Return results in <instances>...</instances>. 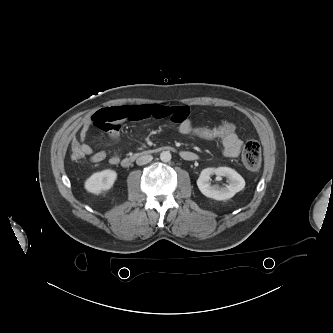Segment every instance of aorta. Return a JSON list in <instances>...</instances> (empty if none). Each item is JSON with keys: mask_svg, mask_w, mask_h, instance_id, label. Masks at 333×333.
Listing matches in <instances>:
<instances>
[{"mask_svg": "<svg viewBox=\"0 0 333 333\" xmlns=\"http://www.w3.org/2000/svg\"><path fill=\"white\" fill-rule=\"evenodd\" d=\"M171 153L169 151H163L160 154V159L163 162H169L171 160Z\"/></svg>", "mask_w": 333, "mask_h": 333, "instance_id": "obj_1", "label": "aorta"}]
</instances>
